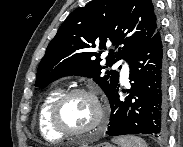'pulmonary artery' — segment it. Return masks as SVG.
Segmentation results:
<instances>
[{"label":"pulmonary artery","instance_id":"1","mask_svg":"<svg viewBox=\"0 0 183 147\" xmlns=\"http://www.w3.org/2000/svg\"><path fill=\"white\" fill-rule=\"evenodd\" d=\"M120 63H118L117 65H119ZM121 73H122V77L124 79H126L128 77V74H129V68H128V64L126 62H124L122 64V70H121Z\"/></svg>","mask_w":183,"mask_h":147}]
</instances>
